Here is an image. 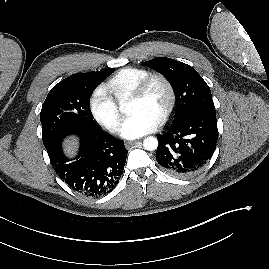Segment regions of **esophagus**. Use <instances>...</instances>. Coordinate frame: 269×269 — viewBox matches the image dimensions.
Masks as SVG:
<instances>
[{"label":"esophagus","mask_w":269,"mask_h":269,"mask_svg":"<svg viewBox=\"0 0 269 269\" xmlns=\"http://www.w3.org/2000/svg\"><path fill=\"white\" fill-rule=\"evenodd\" d=\"M137 143H139V141H127V142H125V147L130 148L131 146H134Z\"/></svg>","instance_id":"obj_1"}]
</instances>
